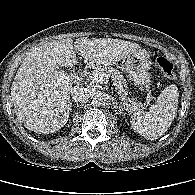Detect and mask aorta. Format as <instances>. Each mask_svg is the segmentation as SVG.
<instances>
[{
	"instance_id": "762f6f07",
	"label": "aorta",
	"mask_w": 195,
	"mask_h": 195,
	"mask_svg": "<svg viewBox=\"0 0 195 195\" xmlns=\"http://www.w3.org/2000/svg\"><path fill=\"white\" fill-rule=\"evenodd\" d=\"M102 101H103V98L101 96H95L92 100V103L95 105V106H99L102 104Z\"/></svg>"
}]
</instances>
